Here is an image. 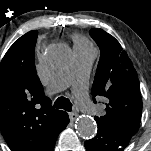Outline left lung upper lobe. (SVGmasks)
Instances as JSON below:
<instances>
[{
    "instance_id": "left-lung-upper-lobe-1",
    "label": "left lung upper lobe",
    "mask_w": 151,
    "mask_h": 151,
    "mask_svg": "<svg viewBox=\"0 0 151 151\" xmlns=\"http://www.w3.org/2000/svg\"><path fill=\"white\" fill-rule=\"evenodd\" d=\"M101 56L92 86V96L105 102V112L95 116L97 125L133 136L142 115V98L136 70L119 42L102 29L90 30Z\"/></svg>"
}]
</instances>
